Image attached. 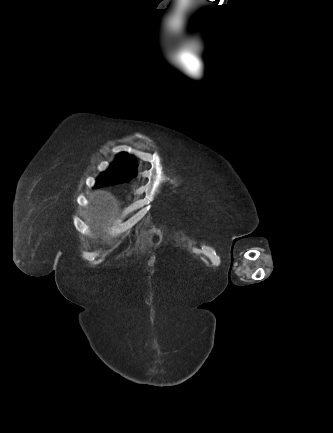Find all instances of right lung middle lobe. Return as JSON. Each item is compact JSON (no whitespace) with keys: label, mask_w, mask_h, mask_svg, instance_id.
<instances>
[{"label":"right lung middle lobe","mask_w":333,"mask_h":433,"mask_svg":"<svg viewBox=\"0 0 333 433\" xmlns=\"http://www.w3.org/2000/svg\"><path fill=\"white\" fill-rule=\"evenodd\" d=\"M136 176L134 162L131 160H115L110 168L98 178L96 186L113 185L130 181Z\"/></svg>","instance_id":"1"}]
</instances>
